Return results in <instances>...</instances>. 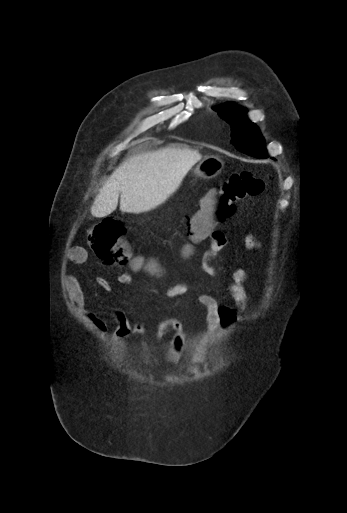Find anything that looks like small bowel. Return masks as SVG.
I'll return each instance as SVG.
<instances>
[{
	"mask_svg": "<svg viewBox=\"0 0 347 513\" xmlns=\"http://www.w3.org/2000/svg\"><path fill=\"white\" fill-rule=\"evenodd\" d=\"M204 239L210 241V247L205 252L202 270L209 276H218L220 268L216 264L219 253L227 245V236L221 229L213 230ZM246 248L252 251L260 248V242L253 233L245 237ZM188 247L186 251L188 252ZM87 254L83 248H74L68 256L71 263L81 264L86 262ZM139 263H135L130 272H123L118 276V281L122 284H130L132 273L139 271ZM98 285L109 290L110 285L104 280H97ZM248 276L241 268H234L230 272V279L226 284L228 296L235 303V308L222 306L216 297L209 293H201L197 297L198 303L205 310L206 332H212L219 326H229L237 321L238 312L244 310L248 305V295L246 286ZM64 287L66 289L68 300L71 307L80 319L100 332L108 330L107 321L99 314L88 311L85 307V298L82 287L76 277L67 273L64 277ZM191 289L188 282L180 281L171 284L167 293L171 297L186 295ZM115 323L113 336L118 341H124L131 337H137L146 341H155L169 336L168 345L164 351V360L171 364L178 363L185 354V331L182 322L175 318L163 320L153 327L147 326L140 320H131L123 312L116 311L112 314ZM202 354L194 352L189 355L192 363H199Z\"/></svg>",
	"mask_w": 347,
	"mask_h": 513,
	"instance_id": "c3829d8e",
	"label": "small bowel"
}]
</instances>
